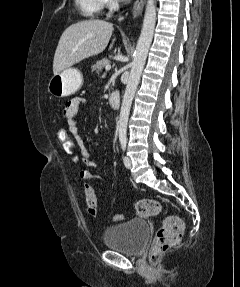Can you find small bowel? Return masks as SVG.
Instances as JSON below:
<instances>
[{
	"label": "small bowel",
	"instance_id": "c3829d8e",
	"mask_svg": "<svg viewBox=\"0 0 240 287\" xmlns=\"http://www.w3.org/2000/svg\"><path fill=\"white\" fill-rule=\"evenodd\" d=\"M84 99L80 97H74L69 100L62 111L63 117L67 120L70 126L71 132L75 137L78 145L79 155L82 163L86 166L90 179H101L100 175L91 169L98 167V163L95 162L90 155L88 148L83 144L78 133V113Z\"/></svg>",
	"mask_w": 240,
	"mask_h": 287
}]
</instances>
